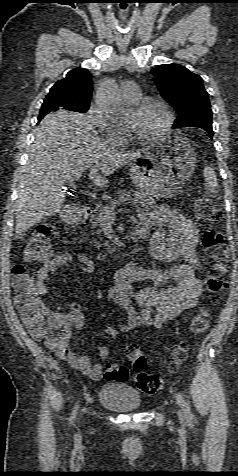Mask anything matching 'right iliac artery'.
Returning <instances> with one entry per match:
<instances>
[{
  "label": "right iliac artery",
  "mask_w": 238,
  "mask_h": 476,
  "mask_svg": "<svg viewBox=\"0 0 238 476\" xmlns=\"http://www.w3.org/2000/svg\"><path fill=\"white\" fill-rule=\"evenodd\" d=\"M77 409H78V407L76 406V407L74 408L73 412H72L71 422H72V420H73V419L75 418V416H76Z\"/></svg>",
  "instance_id": "obj_1"
}]
</instances>
